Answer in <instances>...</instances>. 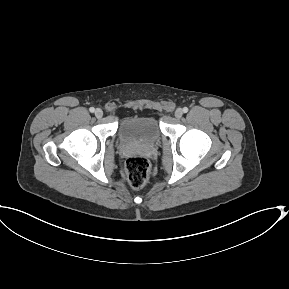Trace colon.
Instances as JSON below:
<instances>
[{
	"label": "colon",
	"instance_id": "obj_1",
	"mask_svg": "<svg viewBox=\"0 0 289 289\" xmlns=\"http://www.w3.org/2000/svg\"><path fill=\"white\" fill-rule=\"evenodd\" d=\"M150 173V163L143 156L129 157L125 162V174L128 183L134 189L145 186Z\"/></svg>",
	"mask_w": 289,
	"mask_h": 289
}]
</instances>
